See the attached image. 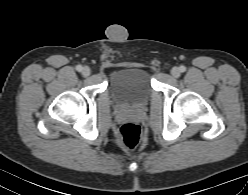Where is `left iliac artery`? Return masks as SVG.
Instances as JSON below:
<instances>
[{
    "mask_svg": "<svg viewBox=\"0 0 248 195\" xmlns=\"http://www.w3.org/2000/svg\"><path fill=\"white\" fill-rule=\"evenodd\" d=\"M179 69H180V71H181V72H185L186 67L182 65V66H180V68H179Z\"/></svg>",
    "mask_w": 248,
    "mask_h": 195,
    "instance_id": "obj_1",
    "label": "left iliac artery"
}]
</instances>
